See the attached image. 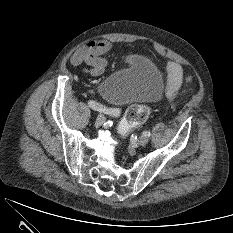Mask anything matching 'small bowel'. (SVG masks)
<instances>
[{
    "instance_id": "small-bowel-1",
    "label": "small bowel",
    "mask_w": 233,
    "mask_h": 233,
    "mask_svg": "<svg viewBox=\"0 0 233 233\" xmlns=\"http://www.w3.org/2000/svg\"><path fill=\"white\" fill-rule=\"evenodd\" d=\"M110 43L107 40L91 41L77 49L70 58L74 66L86 64L88 67L84 72L91 76H100L104 73L107 61L103 57L110 50ZM183 70L182 67L174 62L167 63V85L166 96L174 98L182 84Z\"/></svg>"
}]
</instances>
